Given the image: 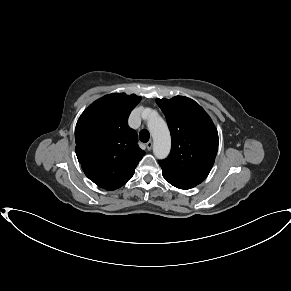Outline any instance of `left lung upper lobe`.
Listing matches in <instances>:
<instances>
[{
    "mask_svg": "<svg viewBox=\"0 0 291 291\" xmlns=\"http://www.w3.org/2000/svg\"><path fill=\"white\" fill-rule=\"evenodd\" d=\"M171 132L170 155L160 160L163 176L190 188L209 174L218 150V132L204 109L194 100L176 96L157 99Z\"/></svg>",
    "mask_w": 291,
    "mask_h": 291,
    "instance_id": "1",
    "label": "left lung upper lobe"
}]
</instances>
